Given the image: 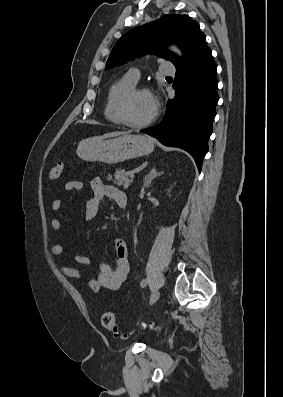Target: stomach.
<instances>
[{
  "instance_id": "1",
  "label": "stomach",
  "mask_w": 283,
  "mask_h": 397,
  "mask_svg": "<svg viewBox=\"0 0 283 397\" xmlns=\"http://www.w3.org/2000/svg\"><path fill=\"white\" fill-rule=\"evenodd\" d=\"M154 149L153 141L145 135L125 134L118 138L100 140L88 138L77 147V155L84 161H100L116 164L150 154Z\"/></svg>"
}]
</instances>
